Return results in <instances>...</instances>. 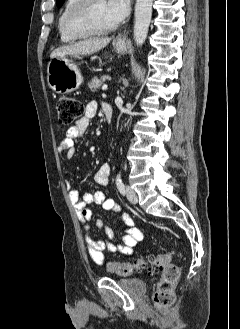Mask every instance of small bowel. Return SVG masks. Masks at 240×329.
I'll use <instances>...</instances> for the list:
<instances>
[{
    "label": "small bowel",
    "instance_id": "1",
    "mask_svg": "<svg viewBox=\"0 0 240 329\" xmlns=\"http://www.w3.org/2000/svg\"><path fill=\"white\" fill-rule=\"evenodd\" d=\"M96 112L97 103L94 101L87 103L84 114L66 131L65 137L59 142L57 146L58 151L60 153H65L68 159H73L76 156L77 151L74 147V141L85 133L90 120L95 116ZM110 174V164L104 163L96 171L94 182L98 185L106 186L109 183ZM65 186L69 191V201L73 205L80 222L84 225L86 230L84 243L90 258L95 263L103 265L106 260L104 255L105 250L112 253L121 252L125 255H132L134 253V247L142 240L143 234L140 229L135 227L132 217L128 214L123 213L119 215V219L125 227V232L121 237V243H116L113 240L114 233L112 228L102 219L96 221V226L105 233L109 240H94L90 236L92 211L89 205H100L106 211L119 213L121 210L120 204L115 199L108 198L102 191L87 192L80 198L78 191L72 189L69 181H66Z\"/></svg>",
    "mask_w": 240,
    "mask_h": 329
}]
</instances>
